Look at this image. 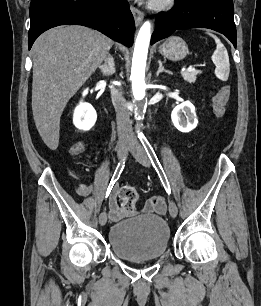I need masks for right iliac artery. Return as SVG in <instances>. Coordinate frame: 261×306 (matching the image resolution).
<instances>
[{
    "mask_svg": "<svg viewBox=\"0 0 261 306\" xmlns=\"http://www.w3.org/2000/svg\"><path fill=\"white\" fill-rule=\"evenodd\" d=\"M123 168H124V162L119 163L117 168H116V170H115V172H114V174H113V177H112V179L110 181V184H109V186L107 188L106 196H105L106 198L109 196V194H110V192H111L115 182L119 179L120 174H121Z\"/></svg>",
    "mask_w": 261,
    "mask_h": 306,
    "instance_id": "obj_1",
    "label": "right iliac artery"
}]
</instances>
